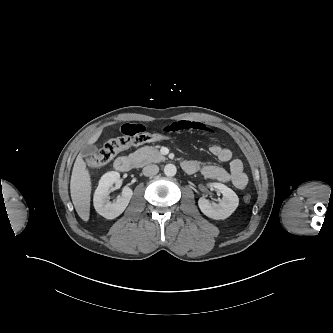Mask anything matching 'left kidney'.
<instances>
[{"mask_svg": "<svg viewBox=\"0 0 333 333\" xmlns=\"http://www.w3.org/2000/svg\"><path fill=\"white\" fill-rule=\"evenodd\" d=\"M210 187L216 188L222 193L223 198L219 204L210 203L206 198L201 197L198 200V206L201 212L209 218L221 220L228 218L238 207L239 198L237 194L221 183H211Z\"/></svg>", "mask_w": 333, "mask_h": 333, "instance_id": "left-kidney-1", "label": "left kidney"}]
</instances>
